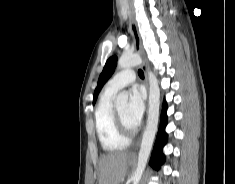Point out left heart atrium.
Segmentation results:
<instances>
[{
  "instance_id": "left-heart-atrium-1",
  "label": "left heart atrium",
  "mask_w": 235,
  "mask_h": 184,
  "mask_svg": "<svg viewBox=\"0 0 235 184\" xmlns=\"http://www.w3.org/2000/svg\"><path fill=\"white\" fill-rule=\"evenodd\" d=\"M144 108V96L142 92L137 88L133 89L130 93L127 119L134 128L140 126L144 114Z\"/></svg>"
}]
</instances>
